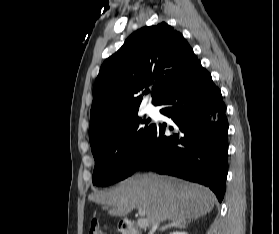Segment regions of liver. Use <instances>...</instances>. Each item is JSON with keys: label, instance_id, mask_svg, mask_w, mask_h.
I'll return each instance as SVG.
<instances>
[{"label": "liver", "instance_id": "1", "mask_svg": "<svg viewBox=\"0 0 279 234\" xmlns=\"http://www.w3.org/2000/svg\"><path fill=\"white\" fill-rule=\"evenodd\" d=\"M91 201L111 205L109 213L125 217L133 209L143 210L148 225L159 221H186L209 213L216 197L208 188L174 177L137 174L108 192L89 196Z\"/></svg>", "mask_w": 279, "mask_h": 234}]
</instances>
